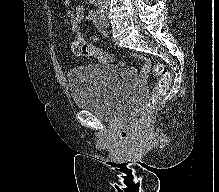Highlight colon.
Instances as JSON below:
<instances>
[{
    "label": "colon",
    "instance_id": "colon-1",
    "mask_svg": "<svg viewBox=\"0 0 219 192\" xmlns=\"http://www.w3.org/2000/svg\"><path fill=\"white\" fill-rule=\"evenodd\" d=\"M71 51L76 55L86 56V57H98L104 62H111L112 56L101 51L93 43L84 41L81 38H76L71 44ZM152 73L159 77L156 85L154 86L153 92L149 99L147 100L145 110L138 120L139 126H146L155 113L159 98L161 95L165 94L170 86L171 75L167 67L162 64H156L153 66Z\"/></svg>",
    "mask_w": 219,
    "mask_h": 192
}]
</instances>
